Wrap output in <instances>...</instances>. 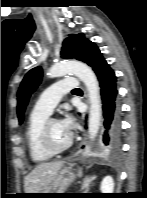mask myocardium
Instances as JSON below:
<instances>
[{
  "label": "myocardium",
  "mask_w": 147,
  "mask_h": 198,
  "mask_svg": "<svg viewBox=\"0 0 147 198\" xmlns=\"http://www.w3.org/2000/svg\"><path fill=\"white\" fill-rule=\"evenodd\" d=\"M51 121H53V120H47L42 127L41 143H42V146L46 152H48L51 155H57V154H60L70 148V146L73 143V136L70 135L69 140L65 145H63L61 147H56L52 143L50 133H49V125H50Z\"/></svg>",
  "instance_id": "f54148a6"
}]
</instances>
